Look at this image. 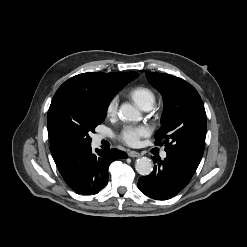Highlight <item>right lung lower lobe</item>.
Wrapping results in <instances>:
<instances>
[{"mask_svg":"<svg viewBox=\"0 0 247 247\" xmlns=\"http://www.w3.org/2000/svg\"><path fill=\"white\" fill-rule=\"evenodd\" d=\"M118 158H127V154L117 149H96L94 154L90 145L78 148L57 167L65 182L76 193L96 194L107 184L109 165Z\"/></svg>","mask_w":247,"mask_h":247,"instance_id":"obj_1","label":"right lung lower lobe"}]
</instances>
